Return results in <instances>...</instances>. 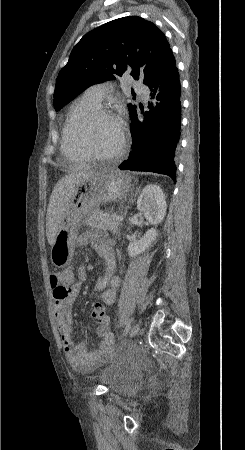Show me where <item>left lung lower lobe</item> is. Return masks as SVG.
<instances>
[{"instance_id": "1", "label": "left lung lower lobe", "mask_w": 245, "mask_h": 450, "mask_svg": "<svg viewBox=\"0 0 245 450\" xmlns=\"http://www.w3.org/2000/svg\"><path fill=\"white\" fill-rule=\"evenodd\" d=\"M152 102L142 118L131 116L132 151L121 170L150 171L170 176L176 182L175 150L180 136L181 86L172 56L146 84Z\"/></svg>"}]
</instances>
